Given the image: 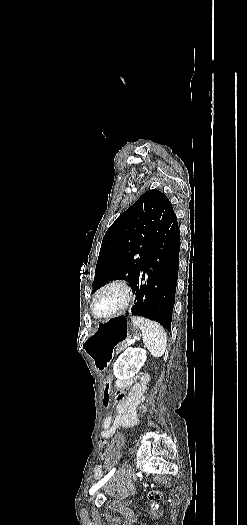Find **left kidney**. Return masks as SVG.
<instances>
[{
    "mask_svg": "<svg viewBox=\"0 0 247 525\" xmlns=\"http://www.w3.org/2000/svg\"><path fill=\"white\" fill-rule=\"evenodd\" d=\"M147 359L145 349H132L128 347L116 363H114V375L122 377L125 373H129V377H134L141 367H143Z\"/></svg>",
    "mask_w": 247,
    "mask_h": 525,
    "instance_id": "obj_1",
    "label": "left kidney"
}]
</instances>
